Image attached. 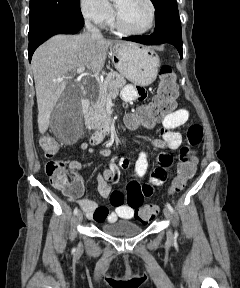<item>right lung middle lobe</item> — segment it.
Wrapping results in <instances>:
<instances>
[{"label": "right lung middle lobe", "instance_id": "right-lung-middle-lobe-1", "mask_svg": "<svg viewBox=\"0 0 240 288\" xmlns=\"http://www.w3.org/2000/svg\"><path fill=\"white\" fill-rule=\"evenodd\" d=\"M54 19L83 20L80 0H30L29 36L42 24Z\"/></svg>", "mask_w": 240, "mask_h": 288}]
</instances>
